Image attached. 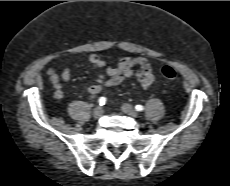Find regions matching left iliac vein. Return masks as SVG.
Wrapping results in <instances>:
<instances>
[{
    "label": "left iliac vein",
    "mask_w": 230,
    "mask_h": 186,
    "mask_svg": "<svg viewBox=\"0 0 230 186\" xmlns=\"http://www.w3.org/2000/svg\"><path fill=\"white\" fill-rule=\"evenodd\" d=\"M121 110L123 113L131 116L132 118H135V119L138 118L137 112L134 110V108L130 104H126V103L123 104L121 106Z\"/></svg>",
    "instance_id": "1"
}]
</instances>
